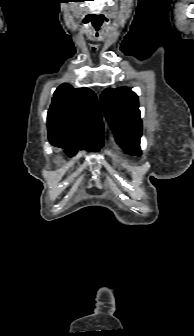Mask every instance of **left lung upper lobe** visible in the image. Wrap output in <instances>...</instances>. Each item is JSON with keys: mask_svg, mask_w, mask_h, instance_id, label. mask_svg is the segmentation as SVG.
I'll return each instance as SVG.
<instances>
[{"mask_svg": "<svg viewBox=\"0 0 194 336\" xmlns=\"http://www.w3.org/2000/svg\"><path fill=\"white\" fill-rule=\"evenodd\" d=\"M101 105L121 146L132 154L140 155L142 121L137 95L126 87L108 88L102 92Z\"/></svg>", "mask_w": 194, "mask_h": 336, "instance_id": "5c2ea615", "label": "left lung upper lobe"}]
</instances>
